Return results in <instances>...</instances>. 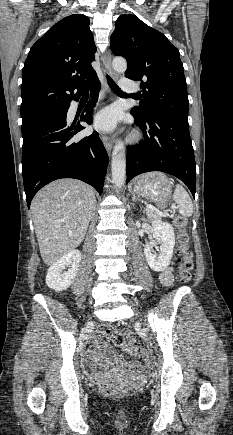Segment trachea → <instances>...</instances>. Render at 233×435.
<instances>
[{
	"mask_svg": "<svg viewBox=\"0 0 233 435\" xmlns=\"http://www.w3.org/2000/svg\"><path fill=\"white\" fill-rule=\"evenodd\" d=\"M107 82L113 92L123 94L121 89L117 86V84L113 81V79L109 75H107ZM84 95H88V91H86Z\"/></svg>",
	"mask_w": 233,
	"mask_h": 435,
	"instance_id": "trachea-1",
	"label": "trachea"
}]
</instances>
